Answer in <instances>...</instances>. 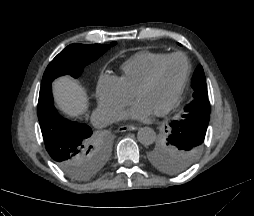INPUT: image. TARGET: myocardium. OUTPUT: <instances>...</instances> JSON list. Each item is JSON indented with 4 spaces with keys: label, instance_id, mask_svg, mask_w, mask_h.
I'll use <instances>...</instances> for the list:
<instances>
[{
    "label": "myocardium",
    "instance_id": "1",
    "mask_svg": "<svg viewBox=\"0 0 254 216\" xmlns=\"http://www.w3.org/2000/svg\"><path fill=\"white\" fill-rule=\"evenodd\" d=\"M173 58H181L183 59V61L185 62V72L183 75V78L175 92V94L173 95L172 99L170 100V102L161 110L155 112V114L157 116H163L167 113H169L177 104L184 88L185 85L188 81L190 72H191V64L189 59L182 53L176 52V53H172L169 54L167 56H165L162 60H160L152 69V71L150 72V74L148 75V77L144 80V82L137 88V90L134 93V97L137 99L138 95L145 89H147L148 87H150L155 80L158 77V74L162 68V66L169 60L173 59Z\"/></svg>",
    "mask_w": 254,
    "mask_h": 216
}]
</instances>
